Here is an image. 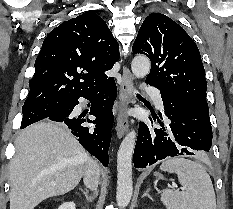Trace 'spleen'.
I'll list each match as a JSON object with an SVG mask.
<instances>
[{
    "label": "spleen",
    "instance_id": "obj_1",
    "mask_svg": "<svg viewBox=\"0 0 233 209\" xmlns=\"http://www.w3.org/2000/svg\"><path fill=\"white\" fill-rule=\"evenodd\" d=\"M160 169L177 174L183 191L166 189L161 201L167 209H216L215 192L210 176L205 168L184 158H170Z\"/></svg>",
    "mask_w": 233,
    "mask_h": 209
}]
</instances>
